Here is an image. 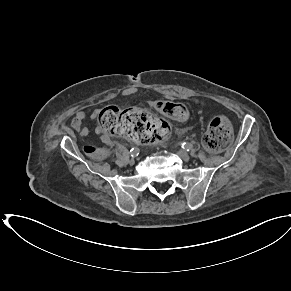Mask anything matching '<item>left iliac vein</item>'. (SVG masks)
<instances>
[{
  "instance_id": "4c4485c4",
  "label": "left iliac vein",
  "mask_w": 291,
  "mask_h": 291,
  "mask_svg": "<svg viewBox=\"0 0 291 291\" xmlns=\"http://www.w3.org/2000/svg\"><path fill=\"white\" fill-rule=\"evenodd\" d=\"M178 155L180 156V158L184 161H189L190 160V156L186 151H178Z\"/></svg>"
}]
</instances>
